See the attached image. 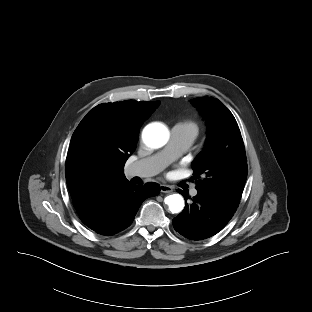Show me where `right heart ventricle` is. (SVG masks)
Here are the masks:
<instances>
[{"label": "right heart ventricle", "instance_id": "e07e8e85", "mask_svg": "<svg viewBox=\"0 0 312 312\" xmlns=\"http://www.w3.org/2000/svg\"><path fill=\"white\" fill-rule=\"evenodd\" d=\"M176 126L183 130L185 133H187L192 140L197 137L200 131L198 123L194 120H185L178 123Z\"/></svg>", "mask_w": 312, "mask_h": 312}]
</instances>
